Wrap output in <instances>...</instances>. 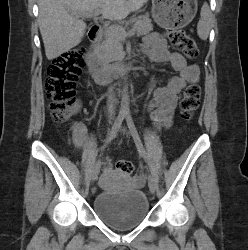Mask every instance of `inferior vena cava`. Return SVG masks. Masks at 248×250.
Wrapping results in <instances>:
<instances>
[{
    "instance_id": "obj_1",
    "label": "inferior vena cava",
    "mask_w": 248,
    "mask_h": 250,
    "mask_svg": "<svg viewBox=\"0 0 248 250\" xmlns=\"http://www.w3.org/2000/svg\"><path fill=\"white\" fill-rule=\"evenodd\" d=\"M107 107L109 118L112 119L115 113V96L112 90L108 95Z\"/></svg>"
}]
</instances>
